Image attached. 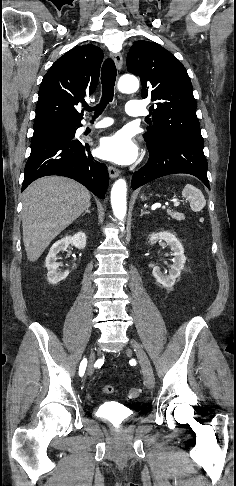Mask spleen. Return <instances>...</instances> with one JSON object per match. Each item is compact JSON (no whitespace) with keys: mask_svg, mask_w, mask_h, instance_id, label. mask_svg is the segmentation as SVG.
Here are the masks:
<instances>
[{"mask_svg":"<svg viewBox=\"0 0 236 486\" xmlns=\"http://www.w3.org/2000/svg\"><path fill=\"white\" fill-rule=\"evenodd\" d=\"M182 196L187 198L194 212L201 211L206 205L202 192L191 184H187L182 190Z\"/></svg>","mask_w":236,"mask_h":486,"instance_id":"1","label":"spleen"}]
</instances>
